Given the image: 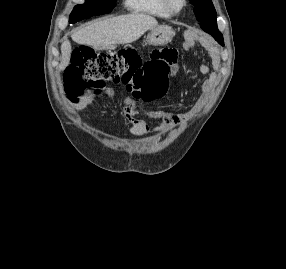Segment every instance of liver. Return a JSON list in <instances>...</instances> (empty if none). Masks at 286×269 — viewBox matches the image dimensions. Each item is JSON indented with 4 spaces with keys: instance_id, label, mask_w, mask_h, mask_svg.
<instances>
[{
    "instance_id": "liver-1",
    "label": "liver",
    "mask_w": 286,
    "mask_h": 269,
    "mask_svg": "<svg viewBox=\"0 0 286 269\" xmlns=\"http://www.w3.org/2000/svg\"><path fill=\"white\" fill-rule=\"evenodd\" d=\"M157 20L146 14L132 13L106 20H98L72 34V40L78 44L90 45L95 49H104L115 44L136 41L147 30L156 27ZM59 69L64 70L70 62L71 44L65 40L61 45Z\"/></svg>"
}]
</instances>
